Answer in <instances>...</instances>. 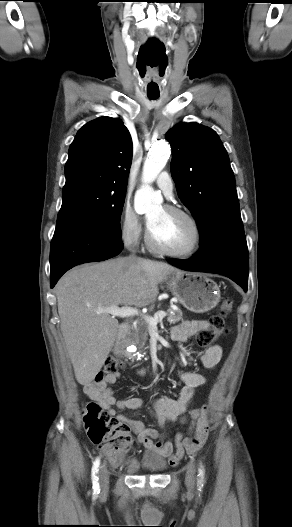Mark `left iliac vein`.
<instances>
[{"instance_id":"4c4485c4","label":"left iliac vein","mask_w":292,"mask_h":527,"mask_svg":"<svg viewBox=\"0 0 292 527\" xmlns=\"http://www.w3.org/2000/svg\"><path fill=\"white\" fill-rule=\"evenodd\" d=\"M194 480H195V468L192 464L189 465L186 475V485L188 489H192L194 486Z\"/></svg>"}]
</instances>
